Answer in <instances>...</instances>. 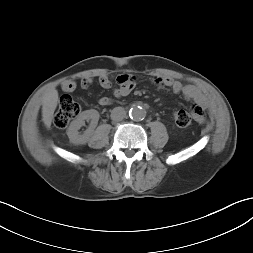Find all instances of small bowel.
<instances>
[{"label": "small bowel", "instance_id": "small-bowel-1", "mask_svg": "<svg viewBox=\"0 0 253 253\" xmlns=\"http://www.w3.org/2000/svg\"><path fill=\"white\" fill-rule=\"evenodd\" d=\"M99 85L104 89H109L112 86L111 77L108 75H101L98 79ZM118 87L114 90L115 97H124L130 93L134 86V80L129 75H119L117 77ZM154 84L158 88L169 87L173 93L182 94L188 101H192L194 106L192 108L193 116L199 123H203L204 108L207 105V100L204 95L193 85H184L180 81L174 80L170 77H157L154 79ZM80 85L82 88L88 89L93 85L91 77H84L81 79ZM77 83L73 80H66L62 84V89L65 92H72L76 89ZM101 106H108L112 104L110 97L103 96L98 100Z\"/></svg>", "mask_w": 253, "mask_h": 253}]
</instances>
